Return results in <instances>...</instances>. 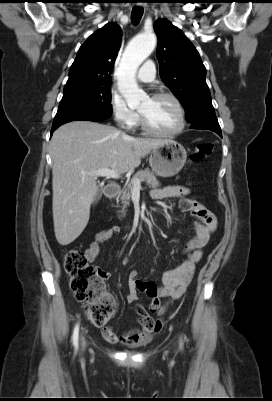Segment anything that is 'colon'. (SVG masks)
<instances>
[{"label": "colon", "mask_w": 272, "mask_h": 401, "mask_svg": "<svg viewBox=\"0 0 272 401\" xmlns=\"http://www.w3.org/2000/svg\"><path fill=\"white\" fill-rule=\"evenodd\" d=\"M214 149L212 143L198 144L191 155L193 161H202L209 157ZM64 268L70 276V286L75 298L86 305L85 314L87 318L98 327H104L106 334L109 329L107 324L115 312V302L105 291L100 271L88 263L85 254L78 249L67 252L64 260ZM136 313L144 316L148 324H160L153 321L148 312L141 306L137 307Z\"/></svg>", "instance_id": "obj_1"}]
</instances>
